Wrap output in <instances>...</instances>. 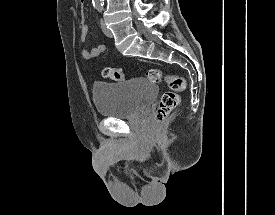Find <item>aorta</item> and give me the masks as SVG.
I'll use <instances>...</instances> for the list:
<instances>
[{"label": "aorta", "instance_id": "aorta-1", "mask_svg": "<svg viewBox=\"0 0 275 215\" xmlns=\"http://www.w3.org/2000/svg\"><path fill=\"white\" fill-rule=\"evenodd\" d=\"M103 1L104 0H92L93 4L96 5V6L102 5Z\"/></svg>", "mask_w": 275, "mask_h": 215}]
</instances>
